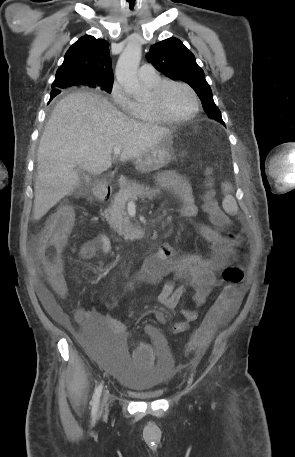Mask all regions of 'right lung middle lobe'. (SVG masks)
Here are the masks:
<instances>
[{
	"label": "right lung middle lobe",
	"instance_id": "dd1d6c3e",
	"mask_svg": "<svg viewBox=\"0 0 295 457\" xmlns=\"http://www.w3.org/2000/svg\"><path fill=\"white\" fill-rule=\"evenodd\" d=\"M112 82L111 83H107L103 86H91V87H101L103 90H105L106 92L110 93L111 90H112ZM73 85H76V84H69V85H66L65 87H69V86H73ZM78 86V85H76Z\"/></svg>",
	"mask_w": 295,
	"mask_h": 457
}]
</instances>
